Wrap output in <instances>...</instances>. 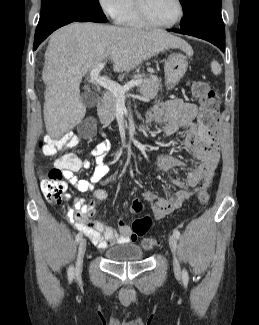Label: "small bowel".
Here are the masks:
<instances>
[{
    "label": "small bowel",
    "instance_id": "obj_1",
    "mask_svg": "<svg viewBox=\"0 0 259 325\" xmlns=\"http://www.w3.org/2000/svg\"><path fill=\"white\" fill-rule=\"evenodd\" d=\"M207 114L206 109L181 98L170 99L151 107L146 114L150 122L161 125L165 135H173L178 130L184 132L185 147L200 161L185 179L173 178L171 183L178 187L176 193L160 197L152 191L142 192V197L152 205L154 217L162 219L166 215L181 207L199 190L202 181L211 179L219 162L217 129H206L202 118ZM110 150L107 141L98 143L91 151L95 158V169L89 179H80L76 172L81 168L89 169L91 163L82 161L77 155L68 153L55 161V166L63 170L65 179L80 192H92L91 204L86 205L83 199H72L74 210L69 217L77 230L82 231L98 249H105L115 244L133 243L138 239L133 230L123 220H118L115 230L104 223L89 218L95 202H103L108 193L105 189H95V185L102 182L109 173L106 154ZM183 162L168 154H159L155 160L158 171L169 174L176 168H182ZM70 199L69 195L65 196Z\"/></svg>",
    "mask_w": 259,
    "mask_h": 325
}]
</instances>
